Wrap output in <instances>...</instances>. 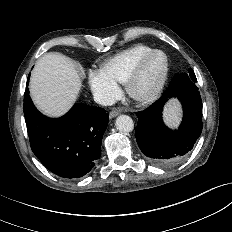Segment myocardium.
Returning <instances> with one entry per match:
<instances>
[{
    "label": "myocardium",
    "instance_id": "f54148a6",
    "mask_svg": "<svg viewBox=\"0 0 232 232\" xmlns=\"http://www.w3.org/2000/svg\"><path fill=\"white\" fill-rule=\"evenodd\" d=\"M161 56L163 58V66L161 72L155 81V83L146 91L139 92L136 89L137 82L141 77L147 63L155 56ZM169 57L168 55L158 49H153L152 51L143 55L133 66L132 70L128 74L124 86L125 91L130 98L134 101L145 103L154 100L163 90L165 83L169 74Z\"/></svg>",
    "mask_w": 232,
    "mask_h": 232
}]
</instances>
